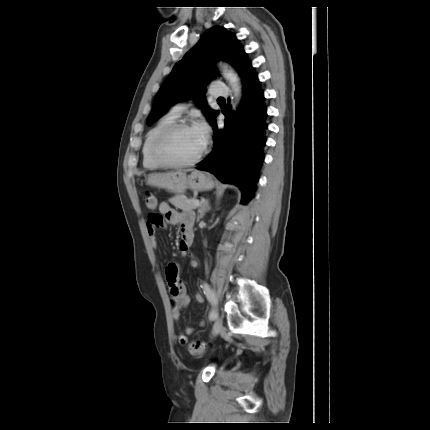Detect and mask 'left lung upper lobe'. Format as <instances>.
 Instances as JSON below:
<instances>
[{"instance_id":"left-lung-upper-lobe-1","label":"left lung upper lobe","mask_w":430,"mask_h":430,"mask_svg":"<svg viewBox=\"0 0 430 430\" xmlns=\"http://www.w3.org/2000/svg\"><path fill=\"white\" fill-rule=\"evenodd\" d=\"M218 60L230 63L241 79L247 74H254L237 38L223 27H213L174 66L155 97L152 112L147 118L148 125L165 114L173 104L183 100L189 92L203 88L210 79L215 78L218 72L214 62ZM205 103L201 100V104ZM203 112L210 121L217 113L208 106L203 108Z\"/></svg>"}]
</instances>
